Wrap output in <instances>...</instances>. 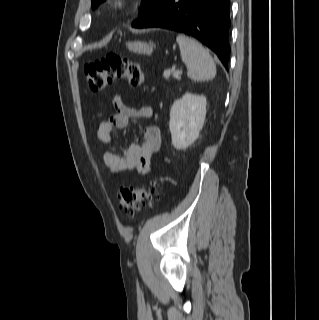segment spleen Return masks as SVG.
<instances>
[{
    "label": "spleen",
    "instance_id": "1",
    "mask_svg": "<svg viewBox=\"0 0 319 320\" xmlns=\"http://www.w3.org/2000/svg\"><path fill=\"white\" fill-rule=\"evenodd\" d=\"M176 41L182 61L189 67L188 77L195 81L213 79L216 75L215 63L208 51L196 40L179 34Z\"/></svg>",
    "mask_w": 319,
    "mask_h": 320
}]
</instances>
